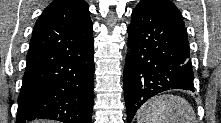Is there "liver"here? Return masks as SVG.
Segmentation results:
<instances>
[{
	"label": "liver",
	"instance_id": "liver-1",
	"mask_svg": "<svg viewBox=\"0 0 221 123\" xmlns=\"http://www.w3.org/2000/svg\"><path fill=\"white\" fill-rule=\"evenodd\" d=\"M34 123H50L49 121H38V120H36V121H34Z\"/></svg>",
	"mask_w": 221,
	"mask_h": 123
}]
</instances>
